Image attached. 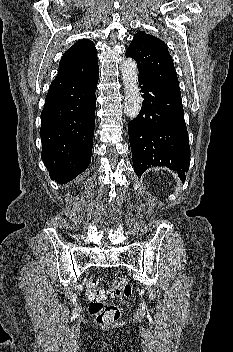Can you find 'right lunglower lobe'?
Masks as SVG:
<instances>
[{
  "label": "right lung lower lobe",
  "mask_w": 233,
  "mask_h": 352,
  "mask_svg": "<svg viewBox=\"0 0 233 352\" xmlns=\"http://www.w3.org/2000/svg\"><path fill=\"white\" fill-rule=\"evenodd\" d=\"M98 78L99 69L48 90L41 112V158L57 183L71 181L90 163Z\"/></svg>",
  "instance_id": "obj_1"
}]
</instances>
